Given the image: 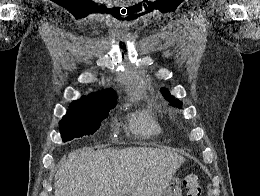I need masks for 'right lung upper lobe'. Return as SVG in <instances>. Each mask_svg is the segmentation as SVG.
I'll use <instances>...</instances> for the list:
<instances>
[{
	"instance_id": "1",
	"label": "right lung upper lobe",
	"mask_w": 260,
	"mask_h": 196,
	"mask_svg": "<svg viewBox=\"0 0 260 196\" xmlns=\"http://www.w3.org/2000/svg\"><path fill=\"white\" fill-rule=\"evenodd\" d=\"M116 94L113 90H106L83 96L81 99L71 103V109H104L115 107Z\"/></svg>"
}]
</instances>
